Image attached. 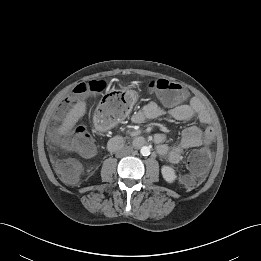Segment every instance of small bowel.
Instances as JSON below:
<instances>
[{"label": "small bowel", "mask_w": 261, "mask_h": 261, "mask_svg": "<svg viewBox=\"0 0 261 261\" xmlns=\"http://www.w3.org/2000/svg\"><path fill=\"white\" fill-rule=\"evenodd\" d=\"M169 116L177 121H188L197 116L202 122H207L208 117L203 105L198 98H192L188 104H182L170 109H164L156 102H149L141 110L132 116L134 123H143L145 120H154L163 116ZM214 140V130L211 126L204 129L198 126H189L182 131L180 141L170 147L165 143L166 136L163 133L154 135V142L160 156L171 163H178L183 153L192 148L209 146Z\"/></svg>", "instance_id": "small-bowel-1"}]
</instances>
